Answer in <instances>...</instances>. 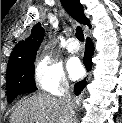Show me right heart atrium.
<instances>
[{
    "mask_svg": "<svg viewBox=\"0 0 122 123\" xmlns=\"http://www.w3.org/2000/svg\"><path fill=\"white\" fill-rule=\"evenodd\" d=\"M33 79L40 90L52 95H62L69 89V82L62 66L46 55L37 58Z\"/></svg>",
    "mask_w": 122,
    "mask_h": 123,
    "instance_id": "right-heart-atrium-1",
    "label": "right heart atrium"
}]
</instances>
